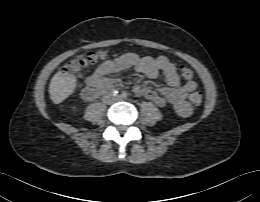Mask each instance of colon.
<instances>
[{
	"mask_svg": "<svg viewBox=\"0 0 260 202\" xmlns=\"http://www.w3.org/2000/svg\"><path fill=\"white\" fill-rule=\"evenodd\" d=\"M94 62L95 57L91 56L82 62H79L77 66L73 67V70L79 71L80 69L92 65ZM180 78L184 83L192 82L194 79L193 70L187 65H182L180 67ZM189 99L194 105H199L202 101V94L199 91H194L189 95Z\"/></svg>",
	"mask_w": 260,
	"mask_h": 202,
	"instance_id": "1",
	"label": "colon"
}]
</instances>
